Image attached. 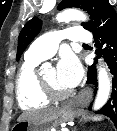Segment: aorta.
Here are the masks:
<instances>
[{
  "label": "aorta",
  "mask_w": 117,
  "mask_h": 131,
  "mask_svg": "<svg viewBox=\"0 0 117 131\" xmlns=\"http://www.w3.org/2000/svg\"><path fill=\"white\" fill-rule=\"evenodd\" d=\"M58 22H70V21H87V16L77 9H66L56 16ZM111 81L107 70L100 66L98 68V92L93 104V109L98 110L103 107L110 95Z\"/></svg>",
  "instance_id": "obj_1"
}]
</instances>
